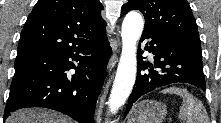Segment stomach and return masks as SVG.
<instances>
[{
  "mask_svg": "<svg viewBox=\"0 0 221 123\" xmlns=\"http://www.w3.org/2000/svg\"><path fill=\"white\" fill-rule=\"evenodd\" d=\"M167 115V106L159 101L144 100L130 112L128 123H162Z\"/></svg>",
  "mask_w": 221,
  "mask_h": 123,
  "instance_id": "1",
  "label": "stomach"
}]
</instances>
